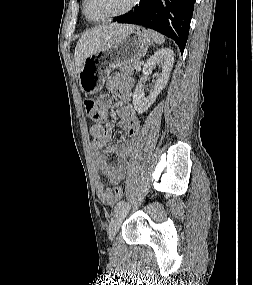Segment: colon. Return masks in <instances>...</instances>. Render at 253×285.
Wrapping results in <instances>:
<instances>
[{
	"instance_id": "colon-1",
	"label": "colon",
	"mask_w": 253,
	"mask_h": 285,
	"mask_svg": "<svg viewBox=\"0 0 253 285\" xmlns=\"http://www.w3.org/2000/svg\"><path fill=\"white\" fill-rule=\"evenodd\" d=\"M84 107H85V110H86V113L89 117H92L94 115V111H95V107H96V103L94 100L88 98L84 101ZM115 191L118 193V194H121L123 191H122V188L121 187H116L115 188Z\"/></svg>"
}]
</instances>
